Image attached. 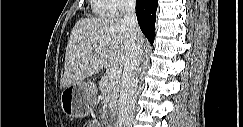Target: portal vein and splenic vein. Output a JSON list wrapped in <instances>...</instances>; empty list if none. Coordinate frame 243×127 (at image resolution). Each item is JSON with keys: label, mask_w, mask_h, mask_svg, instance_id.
<instances>
[{"label": "portal vein and splenic vein", "mask_w": 243, "mask_h": 127, "mask_svg": "<svg viewBox=\"0 0 243 127\" xmlns=\"http://www.w3.org/2000/svg\"><path fill=\"white\" fill-rule=\"evenodd\" d=\"M86 53V52H85ZM121 76V70L119 68H112L109 71L108 77L112 80L119 79Z\"/></svg>", "instance_id": "portal-vein-and-splenic-vein-1"}]
</instances>
